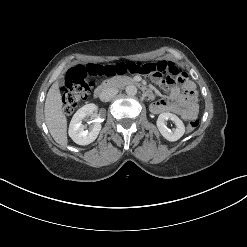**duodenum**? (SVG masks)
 <instances>
[{"instance_id": "obj_1", "label": "duodenum", "mask_w": 247, "mask_h": 247, "mask_svg": "<svg viewBox=\"0 0 247 247\" xmlns=\"http://www.w3.org/2000/svg\"><path fill=\"white\" fill-rule=\"evenodd\" d=\"M122 85H132L137 86L140 91L145 96H150L151 91L146 86L140 84L136 79L133 78H114L111 80L104 81L101 83L94 91V97L97 99H102L108 90L114 87L122 86Z\"/></svg>"}]
</instances>
